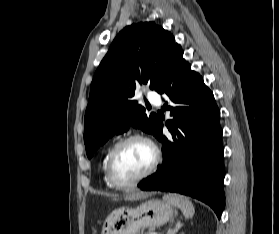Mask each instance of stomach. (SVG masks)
Segmentation results:
<instances>
[{
    "label": "stomach",
    "instance_id": "1",
    "mask_svg": "<svg viewBox=\"0 0 279 234\" xmlns=\"http://www.w3.org/2000/svg\"><path fill=\"white\" fill-rule=\"evenodd\" d=\"M173 215L174 208L169 202L149 200L134 209L123 207L112 211L101 234H139L145 228L166 224Z\"/></svg>",
    "mask_w": 279,
    "mask_h": 234
}]
</instances>
